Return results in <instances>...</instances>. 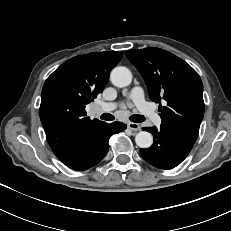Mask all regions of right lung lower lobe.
Masks as SVG:
<instances>
[{
    "instance_id": "1",
    "label": "right lung lower lobe",
    "mask_w": 231,
    "mask_h": 231,
    "mask_svg": "<svg viewBox=\"0 0 231 231\" xmlns=\"http://www.w3.org/2000/svg\"><path fill=\"white\" fill-rule=\"evenodd\" d=\"M126 127L121 122L106 123L82 139L70 155L61 162L77 171L96 165L109 149L110 136L125 130Z\"/></svg>"
}]
</instances>
